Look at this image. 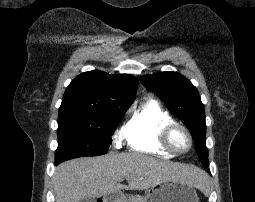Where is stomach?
Wrapping results in <instances>:
<instances>
[{
	"mask_svg": "<svg viewBox=\"0 0 255 202\" xmlns=\"http://www.w3.org/2000/svg\"><path fill=\"white\" fill-rule=\"evenodd\" d=\"M149 202H199L193 186L176 179L165 180L147 190ZM113 202H128L123 195H117Z\"/></svg>",
	"mask_w": 255,
	"mask_h": 202,
	"instance_id": "stomach-1",
	"label": "stomach"
}]
</instances>
